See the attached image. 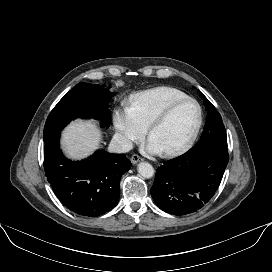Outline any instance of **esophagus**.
Instances as JSON below:
<instances>
[{
    "mask_svg": "<svg viewBox=\"0 0 272 272\" xmlns=\"http://www.w3.org/2000/svg\"><path fill=\"white\" fill-rule=\"evenodd\" d=\"M141 160H142V158L139 155H137V154H134L131 157V162L133 164H136V163L140 162Z\"/></svg>",
    "mask_w": 272,
    "mask_h": 272,
    "instance_id": "1",
    "label": "esophagus"
}]
</instances>
